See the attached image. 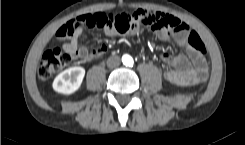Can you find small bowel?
Returning a JSON list of instances; mask_svg holds the SVG:
<instances>
[{
  "label": "small bowel",
  "instance_id": "obj_1",
  "mask_svg": "<svg viewBox=\"0 0 245 145\" xmlns=\"http://www.w3.org/2000/svg\"><path fill=\"white\" fill-rule=\"evenodd\" d=\"M108 15L110 17L116 16L114 13ZM87 16L78 17L79 26L74 29L71 39L63 45L72 60H80L83 63H88L94 58L102 56L106 51L105 44L98 45L92 49L78 44V39L82 36L85 29L89 27ZM92 27L95 28L96 26ZM184 27L185 29L178 34H174L166 28H156L154 33L159 40L175 43L179 48L186 51V55L171 56L167 53L162 54L161 57L164 62L162 74L164 78L174 84L192 86L202 83L208 78V65L203 54L188 43L187 31L189 27L187 24H184ZM106 32L108 34L112 33L111 31Z\"/></svg>",
  "mask_w": 245,
  "mask_h": 145
}]
</instances>
